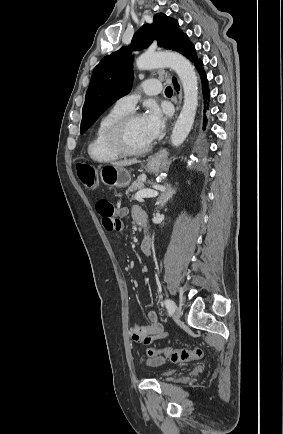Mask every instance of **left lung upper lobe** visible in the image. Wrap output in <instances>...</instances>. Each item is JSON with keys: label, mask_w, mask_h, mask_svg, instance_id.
Segmentation results:
<instances>
[{"label": "left lung upper lobe", "mask_w": 283, "mask_h": 434, "mask_svg": "<svg viewBox=\"0 0 283 434\" xmlns=\"http://www.w3.org/2000/svg\"><path fill=\"white\" fill-rule=\"evenodd\" d=\"M154 39L159 46L181 53L194 64L199 60L194 45L179 29L177 20L163 13L156 14L153 24H145L135 33L130 47H122L104 57L93 70L82 110L81 133L116 100L130 92L133 80L131 52L147 48Z\"/></svg>", "instance_id": "1"}]
</instances>
